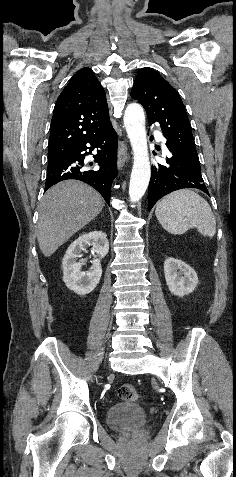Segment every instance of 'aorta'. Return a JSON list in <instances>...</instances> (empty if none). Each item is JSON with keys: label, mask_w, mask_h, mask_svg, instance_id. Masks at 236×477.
Listing matches in <instances>:
<instances>
[{"label": "aorta", "mask_w": 236, "mask_h": 477, "mask_svg": "<svg viewBox=\"0 0 236 477\" xmlns=\"http://www.w3.org/2000/svg\"><path fill=\"white\" fill-rule=\"evenodd\" d=\"M124 126L133 150V168L129 184V199L139 201L148 187L151 168L145 129V114L141 105L129 104L124 113Z\"/></svg>", "instance_id": "obj_1"}]
</instances>
